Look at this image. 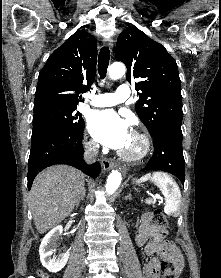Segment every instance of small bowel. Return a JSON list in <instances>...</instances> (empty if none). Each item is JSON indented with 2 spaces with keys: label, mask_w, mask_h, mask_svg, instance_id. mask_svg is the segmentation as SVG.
<instances>
[{
  "label": "small bowel",
  "mask_w": 221,
  "mask_h": 278,
  "mask_svg": "<svg viewBox=\"0 0 221 278\" xmlns=\"http://www.w3.org/2000/svg\"><path fill=\"white\" fill-rule=\"evenodd\" d=\"M166 234L165 229L152 224L150 215L143 216L135 238L136 244L143 247L144 253L149 257V260L143 265V278H162L161 261L174 263L177 274L182 270V255L172 242L165 240Z\"/></svg>",
  "instance_id": "1"
}]
</instances>
